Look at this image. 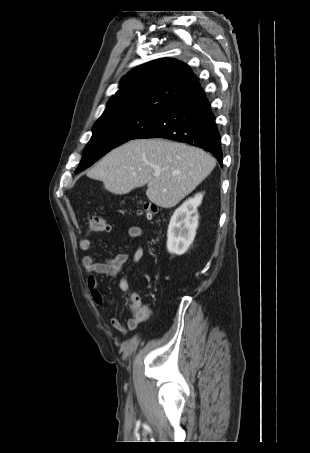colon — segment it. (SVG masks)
I'll return each mask as SVG.
<instances>
[{
	"instance_id": "1",
	"label": "colon",
	"mask_w": 310,
	"mask_h": 453,
	"mask_svg": "<svg viewBox=\"0 0 310 453\" xmlns=\"http://www.w3.org/2000/svg\"><path fill=\"white\" fill-rule=\"evenodd\" d=\"M138 213L152 220L158 213V207L150 202H142ZM88 225L91 232H104L108 230L107 220L102 215H92L89 219ZM131 310L132 313L138 318H146L149 315L148 307L143 305L138 298L131 299Z\"/></svg>"
}]
</instances>
